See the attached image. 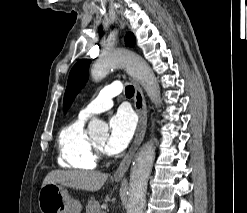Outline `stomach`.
Returning a JSON list of instances; mask_svg holds the SVG:
<instances>
[{"instance_id": "obj_1", "label": "stomach", "mask_w": 247, "mask_h": 213, "mask_svg": "<svg viewBox=\"0 0 247 213\" xmlns=\"http://www.w3.org/2000/svg\"><path fill=\"white\" fill-rule=\"evenodd\" d=\"M41 213H81L82 205L69 196L67 189L56 183L41 187L38 195Z\"/></svg>"}]
</instances>
